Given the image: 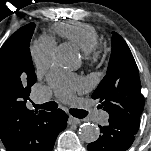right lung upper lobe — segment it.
Returning a JSON list of instances; mask_svg holds the SVG:
<instances>
[{
    "label": "right lung upper lobe",
    "instance_id": "1",
    "mask_svg": "<svg viewBox=\"0 0 151 151\" xmlns=\"http://www.w3.org/2000/svg\"><path fill=\"white\" fill-rule=\"evenodd\" d=\"M31 87L0 90V137L7 151H48L49 112L26 107Z\"/></svg>",
    "mask_w": 151,
    "mask_h": 151
}]
</instances>
